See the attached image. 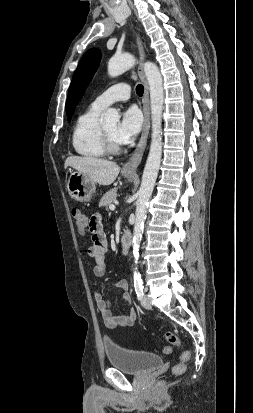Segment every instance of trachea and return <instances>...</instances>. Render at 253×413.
Returning a JSON list of instances; mask_svg holds the SVG:
<instances>
[{
	"label": "trachea",
	"instance_id": "obj_1",
	"mask_svg": "<svg viewBox=\"0 0 253 413\" xmlns=\"http://www.w3.org/2000/svg\"><path fill=\"white\" fill-rule=\"evenodd\" d=\"M143 92H144V87H143V85H141V84L137 85V87H136V93H137V95L141 97V96L143 95Z\"/></svg>",
	"mask_w": 253,
	"mask_h": 413
}]
</instances>
